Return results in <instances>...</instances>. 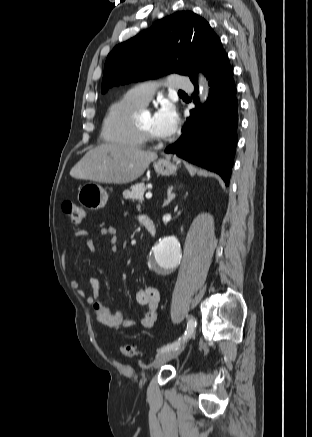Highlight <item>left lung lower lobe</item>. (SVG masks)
<instances>
[{
	"instance_id": "left-lung-lower-lobe-1",
	"label": "left lung lower lobe",
	"mask_w": 312,
	"mask_h": 437,
	"mask_svg": "<svg viewBox=\"0 0 312 437\" xmlns=\"http://www.w3.org/2000/svg\"><path fill=\"white\" fill-rule=\"evenodd\" d=\"M205 75L211 85L207 102L190 111L182 136L165 152L218 173L229 185L237 145L238 102L225 51L217 56ZM193 84L197 93V81Z\"/></svg>"
}]
</instances>
